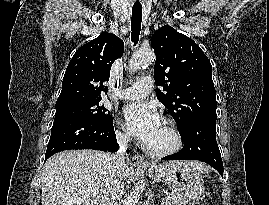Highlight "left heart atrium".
Instances as JSON below:
<instances>
[{
    "instance_id": "obj_1",
    "label": "left heart atrium",
    "mask_w": 269,
    "mask_h": 205,
    "mask_svg": "<svg viewBox=\"0 0 269 205\" xmlns=\"http://www.w3.org/2000/svg\"><path fill=\"white\" fill-rule=\"evenodd\" d=\"M122 114L126 130L146 145L155 137L162 123L157 107L153 103L128 104Z\"/></svg>"
}]
</instances>
